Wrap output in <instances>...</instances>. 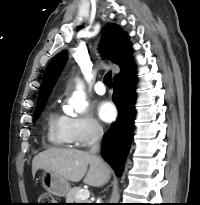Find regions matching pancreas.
Segmentation results:
<instances>
[{
    "label": "pancreas",
    "mask_w": 200,
    "mask_h": 205,
    "mask_svg": "<svg viewBox=\"0 0 200 205\" xmlns=\"http://www.w3.org/2000/svg\"><path fill=\"white\" fill-rule=\"evenodd\" d=\"M79 190H81L80 187H74L70 189L66 196V203H88L76 198V195Z\"/></svg>",
    "instance_id": "obj_1"
}]
</instances>
